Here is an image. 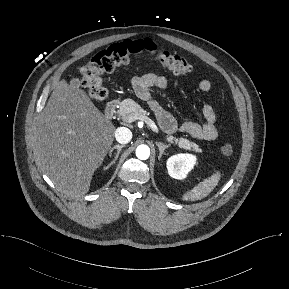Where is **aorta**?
<instances>
[{"instance_id":"762f6f07","label":"aorta","mask_w":289,"mask_h":289,"mask_svg":"<svg viewBox=\"0 0 289 289\" xmlns=\"http://www.w3.org/2000/svg\"><path fill=\"white\" fill-rule=\"evenodd\" d=\"M136 156L140 160H146L150 156V149L147 145H139L136 149Z\"/></svg>"}]
</instances>
